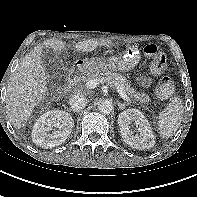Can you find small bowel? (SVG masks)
Here are the masks:
<instances>
[{
    "label": "small bowel",
    "instance_id": "1",
    "mask_svg": "<svg viewBox=\"0 0 197 197\" xmlns=\"http://www.w3.org/2000/svg\"><path fill=\"white\" fill-rule=\"evenodd\" d=\"M149 83H150V80L148 78H146V77H141L140 78V84L142 86H147V85H149Z\"/></svg>",
    "mask_w": 197,
    "mask_h": 197
}]
</instances>
